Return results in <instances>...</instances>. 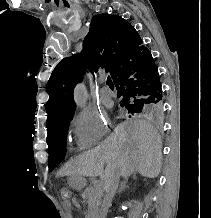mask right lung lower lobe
<instances>
[{
  "instance_id": "obj_1",
  "label": "right lung lower lobe",
  "mask_w": 211,
  "mask_h": 218,
  "mask_svg": "<svg viewBox=\"0 0 211 218\" xmlns=\"http://www.w3.org/2000/svg\"><path fill=\"white\" fill-rule=\"evenodd\" d=\"M113 81L118 97L162 100L158 70L149 50L121 69Z\"/></svg>"
}]
</instances>
